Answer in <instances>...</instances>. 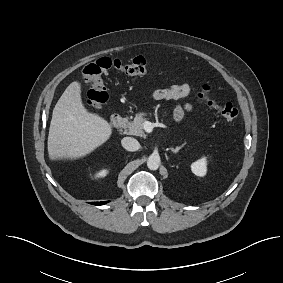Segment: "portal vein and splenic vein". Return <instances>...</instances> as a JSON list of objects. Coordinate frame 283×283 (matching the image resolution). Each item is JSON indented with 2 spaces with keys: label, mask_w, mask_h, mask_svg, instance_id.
I'll return each instance as SVG.
<instances>
[{
  "label": "portal vein and splenic vein",
  "mask_w": 283,
  "mask_h": 283,
  "mask_svg": "<svg viewBox=\"0 0 283 283\" xmlns=\"http://www.w3.org/2000/svg\"><path fill=\"white\" fill-rule=\"evenodd\" d=\"M153 128H154L153 123H151L149 121H146L144 123V129H145L146 132H148V133L152 132Z\"/></svg>",
  "instance_id": "portal-vein-and-splenic-vein-1"
}]
</instances>
